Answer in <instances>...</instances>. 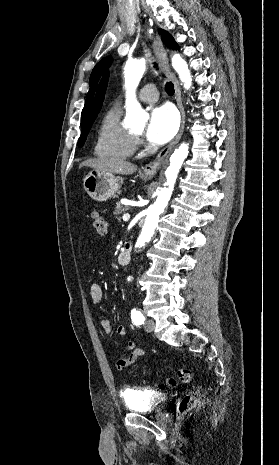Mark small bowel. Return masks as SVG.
Listing matches in <instances>:
<instances>
[{"label": "small bowel", "instance_id": "c3829d8e", "mask_svg": "<svg viewBox=\"0 0 279 465\" xmlns=\"http://www.w3.org/2000/svg\"><path fill=\"white\" fill-rule=\"evenodd\" d=\"M89 295L91 298V302L95 305L100 304L103 301V291L102 288L98 284H93L90 287ZM101 327L103 332L106 335L111 334L112 332V324L109 319H102ZM117 333L121 337L127 336V329L123 326H120L117 329ZM126 354L118 359L116 363V367L119 371H123L133 365L139 358L145 355V351L142 348L136 346L135 342L129 341L126 346Z\"/></svg>", "mask_w": 279, "mask_h": 465}]
</instances>
